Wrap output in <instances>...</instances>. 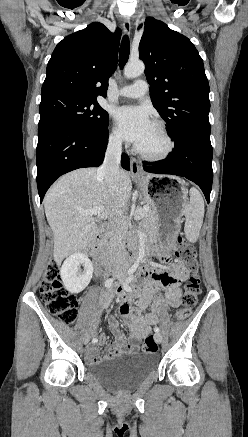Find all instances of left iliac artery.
<instances>
[{
    "label": "left iliac artery",
    "mask_w": 248,
    "mask_h": 437,
    "mask_svg": "<svg viewBox=\"0 0 248 437\" xmlns=\"http://www.w3.org/2000/svg\"><path fill=\"white\" fill-rule=\"evenodd\" d=\"M134 280V276L133 275H131V276H129L126 280H125V282H124V284H123V287H124V289L126 290V291H129V292H131L132 291V287L130 286V284H131V282ZM154 331L156 332V333H158V332H160V329H159V327H154Z\"/></svg>",
    "instance_id": "obj_1"
}]
</instances>
